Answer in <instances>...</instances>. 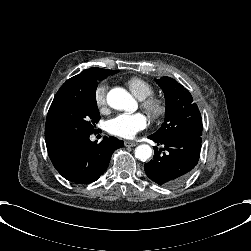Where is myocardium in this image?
I'll return each mask as SVG.
<instances>
[{
	"label": "myocardium",
	"instance_id": "obj_1",
	"mask_svg": "<svg viewBox=\"0 0 251 251\" xmlns=\"http://www.w3.org/2000/svg\"><path fill=\"white\" fill-rule=\"evenodd\" d=\"M141 106L153 117L159 118L167 111V103L165 99L150 95L140 99Z\"/></svg>",
	"mask_w": 251,
	"mask_h": 251
}]
</instances>
